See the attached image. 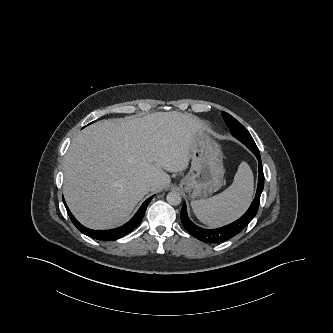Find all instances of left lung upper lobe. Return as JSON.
<instances>
[{
	"label": "left lung upper lobe",
	"mask_w": 333,
	"mask_h": 333,
	"mask_svg": "<svg viewBox=\"0 0 333 333\" xmlns=\"http://www.w3.org/2000/svg\"><path fill=\"white\" fill-rule=\"evenodd\" d=\"M221 114L225 123L229 127L231 134L235 138L245 144L248 148H257L252 136L241 123L224 111H222Z\"/></svg>",
	"instance_id": "obj_1"
}]
</instances>
